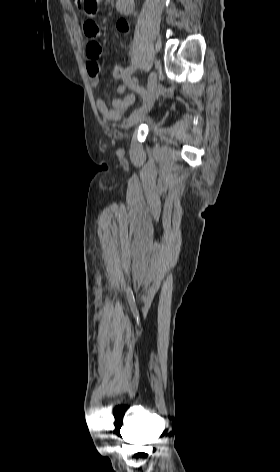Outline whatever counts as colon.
I'll list each match as a JSON object with an SVG mask.
<instances>
[{
  "instance_id": "colon-1",
  "label": "colon",
  "mask_w": 280,
  "mask_h": 472,
  "mask_svg": "<svg viewBox=\"0 0 280 472\" xmlns=\"http://www.w3.org/2000/svg\"><path fill=\"white\" fill-rule=\"evenodd\" d=\"M75 4L83 9L87 15H94L98 11L100 0H74ZM124 68L120 65H115L112 68V75L115 79L120 80L123 75Z\"/></svg>"
}]
</instances>
